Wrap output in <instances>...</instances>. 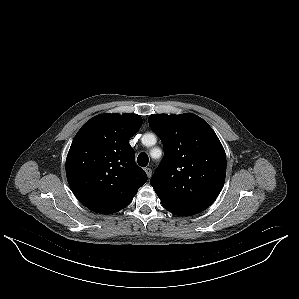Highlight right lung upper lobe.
I'll return each instance as SVG.
<instances>
[{
  "label": "right lung upper lobe",
  "mask_w": 299,
  "mask_h": 299,
  "mask_svg": "<svg viewBox=\"0 0 299 299\" xmlns=\"http://www.w3.org/2000/svg\"><path fill=\"white\" fill-rule=\"evenodd\" d=\"M141 125L137 114L106 113L91 118L74 137L66 176L74 195L88 209L115 213L128 206L147 181L129 144Z\"/></svg>",
  "instance_id": "right-lung-upper-lobe-1"
}]
</instances>
